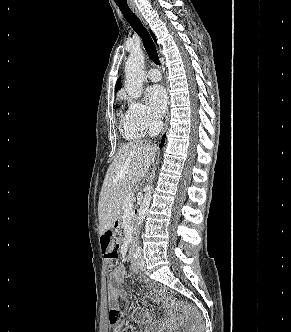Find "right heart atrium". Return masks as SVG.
<instances>
[{"mask_svg": "<svg viewBox=\"0 0 291 332\" xmlns=\"http://www.w3.org/2000/svg\"><path fill=\"white\" fill-rule=\"evenodd\" d=\"M127 112L131 125L143 134L158 126V122L152 118L149 108L140 101L129 100Z\"/></svg>", "mask_w": 291, "mask_h": 332, "instance_id": "obj_1", "label": "right heart atrium"}]
</instances>
